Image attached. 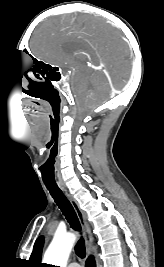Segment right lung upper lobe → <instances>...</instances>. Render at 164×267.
Instances as JSON below:
<instances>
[{
    "label": "right lung upper lobe",
    "mask_w": 164,
    "mask_h": 267,
    "mask_svg": "<svg viewBox=\"0 0 164 267\" xmlns=\"http://www.w3.org/2000/svg\"><path fill=\"white\" fill-rule=\"evenodd\" d=\"M43 243H44V238L43 236H40L35 242L32 254L29 259V264L31 267H42L40 261H41Z\"/></svg>",
    "instance_id": "right-lung-upper-lobe-1"
}]
</instances>
